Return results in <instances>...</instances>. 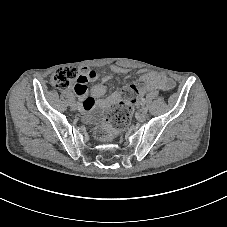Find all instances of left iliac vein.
Masks as SVG:
<instances>
[{
  "label": "left iliac vein",
  "instance_id": "4c4485c4",
  "mask_svg": "<svg viewBox=\"0 0 227 227\" xmlns=\"http://www.w3.org/2000/svg\"><path fill=\"white\" fill-rule=\"evenodd\" d=\"M148 112V108L146 106H143L140 111H139V115L140 116H145Z\"/></svg>",
  "mask_w": 227,
  "mask_h": 227
}]
</instances>
